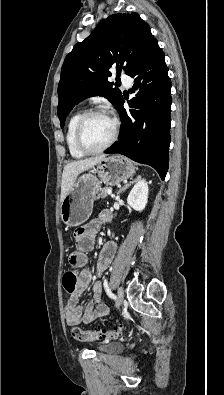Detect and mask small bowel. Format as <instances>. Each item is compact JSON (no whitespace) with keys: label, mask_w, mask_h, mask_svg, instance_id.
I'll list each match as a JSON object with an SVG mask.
<instances>
[{"label":"small bowel","mask_w":224,"mask_h":395,"mask_svg":"<svg viewBox=\"0 0 224 395\" xmlns=\"http://www.w3.org/2000/svg\"><path fill=\"white\" fill-rule=\"evenodd\" d=\"M107 213V211H102L98 219L79 228L74 234L76 250L70 254L69 260L72 265L82 267V270L78 277L77 288L71 293L64 308L65 320L69 326H76L81 322L88 324L97 317L106 316L109 312V308L103 298L102 284L100 281H96L92 285L91 300L83 308L79 305V298L89 288L92 279L91 272L87 267V253L93 248L95 235L101 223L107 220ZM115 253L116 244L114 242L104 244L96 266L99 275L112 263Z\"/></svg>","instance_id":"c3829d8e"}]
</instances>
